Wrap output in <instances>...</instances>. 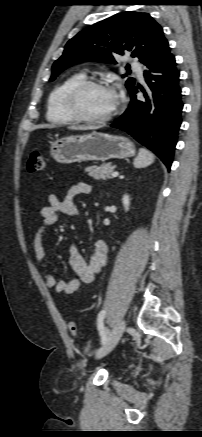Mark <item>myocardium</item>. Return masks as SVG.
<instances>
[{
    "mask_svg": "<svg viewBox=\"0 0 202 437\" xmlns=\"http://www.w3.org/2000/svg\"><path fill=\"white\" fill-rule=\"evenodd\" d=\"M90 88H109L107 84L94 79H83L72 86L64 97V108L68 115L75 121L86 124H103L112 120L122 107V99L117 95V103L113 110L104 117H90L85 115L80 108L82 94Z\"/></svg>",
    "mask_w": 202,
    "mask_h": 437,
    "instance_id": "f54148a6",
    "label": "myocardium"
}]
</instances>
